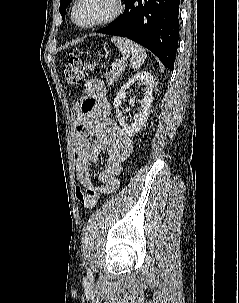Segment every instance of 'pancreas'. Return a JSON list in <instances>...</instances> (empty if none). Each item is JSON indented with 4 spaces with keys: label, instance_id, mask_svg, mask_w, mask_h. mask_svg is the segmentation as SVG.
<instances>
[{
    "label": "pancreas",
    "instance_id": "pancreas-1",
    "mask_svg": "<svg viewBox=\"0 0 239 303\" xmlns=\"http://www.w3.org/2000/svg\"><path fill=\"white\" fill-rule=\"evenodd\" d=\"M125 63H123L119 67H113L112 70H110L108 73L105 74V79L108 82V84L112 85L114 82H116L122 75V73L125 70Z\"/></svg>",
    "mask_w": 239,
    "mask_h": 303
}]
</instances>
